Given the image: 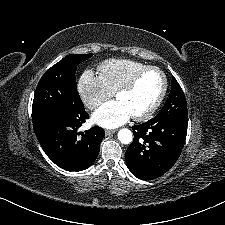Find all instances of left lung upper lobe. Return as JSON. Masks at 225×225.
<instances>
[{
	"mask_svg": "<svg viewBox=\"0 0 225 225\" xmlns=\"http://www.w3.org/2000/svg\"><path fill=\"white\" fill-rule=\"evenodd\" d=\"M155 122L181 121L188 122L187 102L185 95L173 77L171 81V92L163 109L152 118Z\"/></svg>",
	"mask_w": 225,
	"mask_h": 225,
	"instance_id": "5c2ea615",
	"label": "left lung upper lobe"
}]
</instances>
